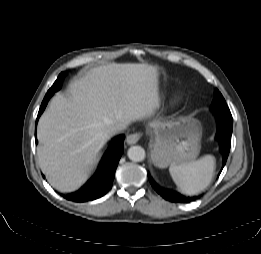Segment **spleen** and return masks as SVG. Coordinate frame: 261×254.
<instances>
[{
    "label": "spleen",
    "instance_id": "1",
    "mask_svg": "<svg viewBox=\"0 0 261 254\" xmlns=\"http://www.w3.org/2000/svg\"><path fill=\"white\" fill-rule=\"evenodd\" d=\"M215 170V159L206 155L186 164H171L169 172L180 190L195 195L205 190L211 183Z\"/></svg>",
    "mask_w": 261,
    "mask_h": 254
}]
</instances>
